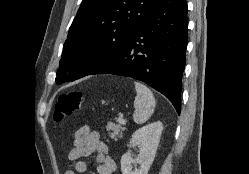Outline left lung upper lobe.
Segmentation results:
<instances>
[{"label":"left lung upper lobe","mask_w":249,"mask_h":174,"mask_svg":"<svg viewBox=\"0 0 249 174\" xmlns=\"http://www.w3.org/2000/svg\"><path fill=\"white\" fill-rule=\"evenodd\" d=\"M158 1L83 0L64 43L56 82L74 81L111 66Z\"/></svg>","instance_id":"1"}]
</instances>
